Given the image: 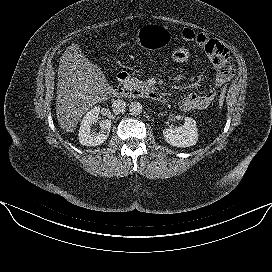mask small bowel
I'll return each mask as SVG.
<instances>
[{"label":"small bowel","instance_id":"obj_1","mask_svg":"<svg viewBox=\"0 0 272 272\" xmlns=\"http://www.w3.org/2000/svg\"><path fill=\"white\" fill-rule=\"evenodd\" d=\"M180 37L185 41L196 43L205 51L216 71L215 88L221 87L230 80L234 60L225 45L205 33L190 28H183ZM215 88L209 89L204 94L190 93L184 96L179 102L180 109L187 112L208 108L216 97Z\"/></svg>","mask_w":272,"mask_h":272}]
</instances>
